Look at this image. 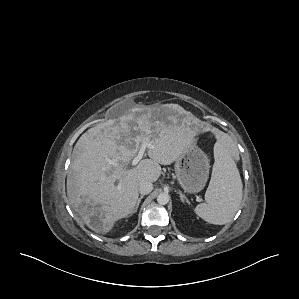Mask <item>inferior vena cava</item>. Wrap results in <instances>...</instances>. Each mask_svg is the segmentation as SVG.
<instances>
[{"label": "inferior vena cava", "mask_w": 299, "mask_h": 299, "mask_svg": "<svg viewBox=\"0 0 299 299\" xmlns=\"http://www.w3.org/2000/svg\"><path fill=\"white\" fill-rule=\"evenodd\" d=\"M153 190V184L148 181H140L139 182V192L142 195H147Z\"/></svg>", "instance_id": "inferior-vena-cava-1"}]
</instances>
